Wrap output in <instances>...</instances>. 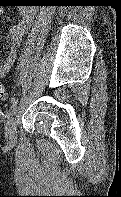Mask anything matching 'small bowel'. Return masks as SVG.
<instances>
[{
  "label": "small bowel",
  "instance_id": "obj_1",
  "mask_svg": "<svg viewBox=\"0 0 121 197\" xmlns=\"http://www.w3.org/2000/svg\"><path fill=\"white\" fill-rule=\"evenodd\" d=\"M3 9L0 8V15ZM33 21V11L29 8H21L19 10V21L9 31V51L7 56L0 60V78L4 77L16 59V51L19 47L23 35L29 30Z\"/></svg>",
  "mask_w": 121,
  "mask_h": 197
}]
</instances>
